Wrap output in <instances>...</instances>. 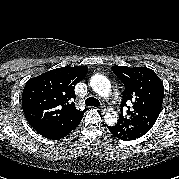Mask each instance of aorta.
<instances>
[{
    "mask_svg": "<svg viewBox=\"0 0 179 179\" xmlns=\"http://www.w3.org/2000/svg\"><path fill=\"white\" fill-rule=\"evenodd\" d=\"M90 85L93 91L102 97L109 96L111 92V84L107 77L96 74L91 77ZM105 122L109 125H114L117 122V113L108 112L105 114Z\"/></svg>",
    "mask_w": 179,
    "mask_h": 179,
    "instance_id": "aorta-1",
    "label": "aorta"
}]
</instances>
